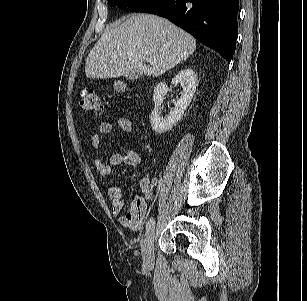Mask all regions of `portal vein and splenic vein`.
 I'll return each instance as SVG.
<instances>
[{
    "label": "portal vein and splenic vein",
    "mask_w": 307,
    "mask_h": 301,
    "mask_svg": "<svg viewBox=\"0 0 307 301\" xmlns=\"http://www.w3.org/2000/svg\"><path fill=\"white\" fill-rule=\"evenodd\" d=\"M146 61L148 62V63H155L156 61L155 60H153L152 58H146Z\"/></svg>",
    "instance_id": "portal-vein-and-splenic-vein-1"
}]
</instances>
